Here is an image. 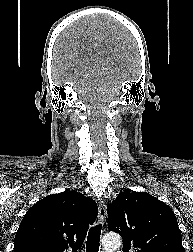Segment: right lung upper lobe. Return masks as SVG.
Listing matches in <instances>:
<instances>
[{
	"label": "right lung upper lobe",
	"mask_w": 193,
	"mask_h": 252,
	"mask_svg": "<svg viewBox=\"0 0 193 252\" xmlns=\"http://www.w3.org/2000/svg\"><path fill=\"white\" fill-rule=\"evenodd\" d=\"M97 213L96 202L76 191L49 195L26 212L14 252H75Z\"/></svg>",
	"instance_id": "obj_1"
}]
</instances>
